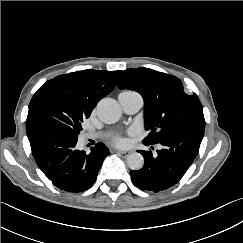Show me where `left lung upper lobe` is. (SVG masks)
Returning <instances> with one entry per match:
<instances>
[{
  "label": "left lung upper lobe",
  "mask_w": 243,
  "mask_h": 243,
  "mask_svg": "<svg viewBox=\"0 0 243 243\" xmlns=\"http://www.w3.org/2000/svg\"><path fill=\"white\" fill-rule=\"evenodd\" d=\"M118 88L135 90L144 99L145 126L149 131L145 144L159 143L184 124L205 122L197 95L186 94L181 80L172 75L144 67L127 69Z\"/></svg>",
  "instance_id": "left-lung-upper-lobe-1"
}]
</instances>
